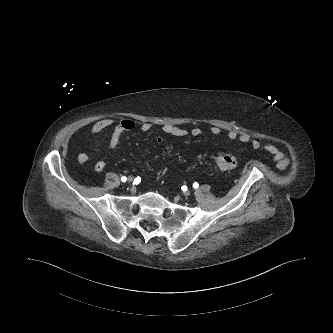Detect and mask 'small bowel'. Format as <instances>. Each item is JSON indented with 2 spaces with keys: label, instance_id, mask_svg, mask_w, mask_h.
Segmentation results:
<instances>
[{
  "label": "small bowel",
  "instance_id": "1",
  "mask_svg": "<svg viewBox=\"0 0 333 333\" xmlns=\"http://www.w3.org/2000/svg\"><path fill=\"white\" fill-rule=\"evenodd\" d=\"M115 124L114 120L111 118H104L97 121L90 131L88 132V137H94L104 130L108 129L109 127ZM136 123L131 119H123L116 123L113 127L109 143L108 149L109 151L113 152L118 148L120 138L123 133L132 131L135 129ZM151 124L148 122L142 123L140 125V129L143 132H148L151 129ZM162 131L164 134L172 136V137H186L188 135L192 136H200L203 132L202 129L199 127H193L191 129H185L176 125L166 124L162 127ZM210 133L213 136H217L221 133V130L217 126H213L210 128ZM227 138L230 141H240L242 143H251L254 149H260L261 147L271 154L274 160L277 162L279 166H287L289 165L290 161L289 158L285 155V153L275 145L266 144L264 146L261 145L260 141L256 138H251L248 134L245 133H238L236 131H229L227 134ZM89 161V156L86 153H81L78 156V162L81 166H85ZM95 171L97 173H102L106 168V162L104 160H99L95 164Z\"/></svg>",
  "mask_w": 333,
  "mask_h": 333
}]
</instances>
